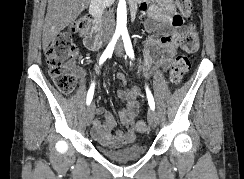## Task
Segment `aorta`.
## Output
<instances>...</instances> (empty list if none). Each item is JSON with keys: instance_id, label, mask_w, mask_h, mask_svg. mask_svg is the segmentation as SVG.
Segmentation results:
<instances>
[{"instance_id": "obj_1", "label": "aorta", "mask_w": 244, "mask_h": 179, "mask_svg": "<svg viewBox=\"0 0 244 179\" xmlns=\"http://www.w3.org/2000/svg\"><path fill=\"white\" fill-rule=\"evenodd\" d=\"M127 8L125 0H119L118 8H117V32H123V30H127Z\"/></svg>"}]
</instances>
